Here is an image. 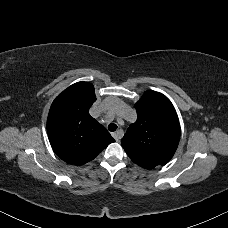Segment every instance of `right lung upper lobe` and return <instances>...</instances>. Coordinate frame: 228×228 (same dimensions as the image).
Masks as SVG:
<instances>
[{"mask_svg":"<svg viewBox=\"0 0 228 228\" xmlns=\"http://www.w3.org/2000/svg\"><path fill=\"white\" fill-rule=\"evenodd\" d=\"M95 100L94 86L78 82L52 103L47 119L49 140L55 153L69 164H85L115 142L106 128L89 114Z\"/></svg>","mask_w":228,"mask_h":228,"instance_id":"obj_1","label":"right lung upper lobe"}]
</instances>
